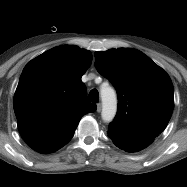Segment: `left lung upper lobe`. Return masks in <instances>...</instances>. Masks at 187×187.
Masks as SVG:
<instances>
[{"instance_id": "1", "label": "left lung upper lobe", "mask_w": 187, "mask_h": 187, "mask_svg": "<svg viewBox=\"0 0 187 187\" xmlns=\"http://www.w3.org/2000/svg\"><path fill=\"white\" fill-rule=\"evenodd\" d=\"M95 66L118 94V110L109 135L126 136L135 149L151 144L167 126L174 108L168 74L144 53L134 49L95 52Z\"/></svg>"}]
</instances>
